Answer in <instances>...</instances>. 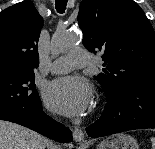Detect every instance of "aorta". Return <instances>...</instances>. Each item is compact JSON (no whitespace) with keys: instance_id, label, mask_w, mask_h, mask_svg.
<instances>
[{"instance_id":"aorta-1","label":"aorta","mask_w":155,"mask_h":149,"mask_svg":"<svg viewBox=\"0 0 155 149\" xmlns=\"http://www.w3.org/2000/svg\"><path fill=\"white\" fill-rule=\"evenodd\" d=\"M82 38L77 33H69L64 28H58L52 39V51L59 53L74 47Z\"/></svg>"}]
</instances>
